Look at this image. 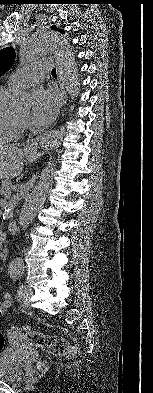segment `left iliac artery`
<instances>
[{"mask_svg": "<svg viewBox=\"0 0 153 393\" xmlns=\"http://www.w3.org/2000/svg\"><path fill=\"white\" fill-rule=\"evenodd\" d=\"M11 277H12V278H16V277H17V274H11ZM24 288H25L24 285H21V286L19 287V290H18V295H19V296L22 295V292H23Z\"/></svg>", "mask_w": 153, "mask_h": 393, "instance_id": "obj_1", "label": "left iliac artery"}]
</instances>
